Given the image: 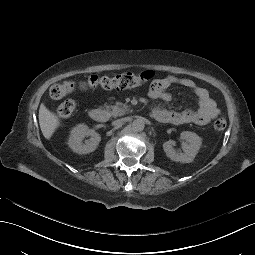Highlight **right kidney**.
<instances>
[{
  "instance_id": "right-kidney-1",
  "label": "right kidney",
  "mask_w": 255,
  "mask_h": 255,
  "mask_svg": "<svg viewBox=\"0 0 255 255\" xmlns=\"http://www.w3.org/2000/svg\"><path fill=\"white\" fill-rule=\"evenodd\" d=\"M89 137V140L84 141ZM101 142L100 135L84 125H79L72 131V137L69 140V145L77 153L89 154L96 150Z\"/></svg>"
}]
</instances>
